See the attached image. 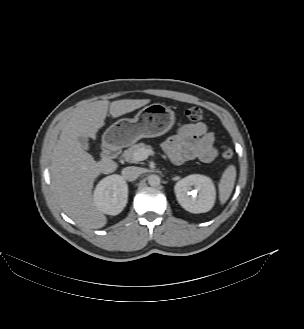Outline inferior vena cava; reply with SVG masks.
<instances>
[{
    "mask_svg": "<svg viewBox=\"0 0 304 329\" xmlns=\"http://www.w3.org/2000/svg\"><path fill=\"white\" fill-rule=\"evenodd\" d=\"M122 178L127 181H134L140 175V170L138 167L129 166L125 167L122 172Z\"/></svg>",
    "mask_w": 304,
    "mask_h": 329,
    "instance_id": "obj_1",
    "label": "inferior vena cava"
}]
</instances>
